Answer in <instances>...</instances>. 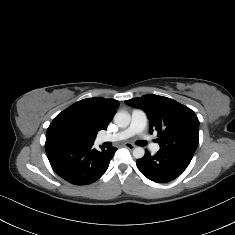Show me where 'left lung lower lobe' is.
I'll use <instances>...</instances> for the list:
<instances>
[{"label":"left lung lower lobe","instance_id":"1","mask_svg":"<svg viewBox=\"0 0 235 235\" xmlns=\"http://www.w3.org/2000/svg\"><path fill=\"white\" fill-rule=\"evenodd\" d=\"M192 158L160 149L155 155L145 150V155L136 160L138 169L150 180L169 182L189 165Z\"/></svg>","mask_w":235,"mask_h":235}]
</instances>
